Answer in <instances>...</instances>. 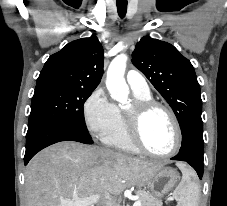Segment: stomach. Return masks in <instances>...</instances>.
<instances>
[{
	"label": "stomach",
	"instance_id": "obj_1",
	"mask_svg": "<svg viewBox=\"0 0 227 206\" xmlns=\"http://www.w3.org/2000/svg\"><path fill=\"white\" fill-rule=\"evenodd\" d=\"M178 172L171 167L161 168L148 183L153 194L162 198L169 193L178 183Z\"/></svg>",
	"mask_w": 227,
	"mask_h": 206
}]
</instances>
